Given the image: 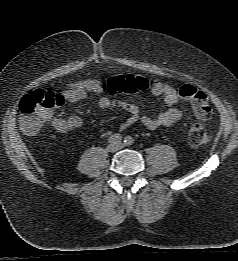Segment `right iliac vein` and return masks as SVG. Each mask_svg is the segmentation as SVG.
<instances>
[{
    "mask_svg": "<svg viewBox=\"0 0 238 261\" xmlns=\"http://www.w3.org/2000/svg\"><path fill=\"white\" fill-rule=\"evenodd\" d=\"M107 150L109 152H116L118 150V146L115 145V144H110L108 147H107Z\"/></svg>",
    "mask_w": 238,
    "mask_h": 261,
    "instance_id": "1",
    "label": "right iliac vein"
}]
</instances>
